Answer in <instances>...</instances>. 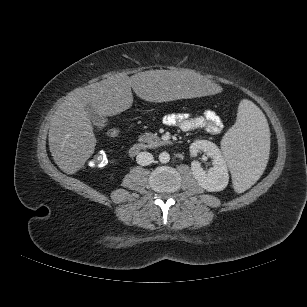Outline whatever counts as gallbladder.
<instances>
[{"instance_id":"bac80fb5","label":"gallbladder","mask_w":307,"mask_h":307,"mask_svg":"<svg viewBox=\"0 0 307 307\" xmlns=\"http://www.w3.org/2000/svg\"><path fill=\"white\" fill-rule=\"evenodd\" d=\"M89 119L93 122V124L99 128L105 126L106 119L102 114H99L94 108L91 106H87L86 108Z\"/></svg>"}]
</instances>
